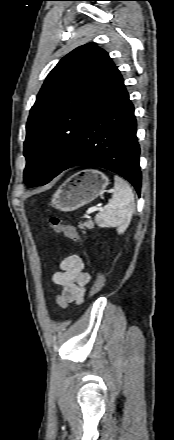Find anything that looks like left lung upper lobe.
<instances>
[{
	"instance_id": "left-lung-upper-lobe-1",
	"label": "left lung upper lobe",
	"mask_w": 174,
	"mask_h": 440,
	"mask_svg": "<svg viewBox=\"0 0 174 440\" xmlns=\"http://www.w3.org/2000/svg\"><path fill=\"white\" fill-rule=\"evenodd\" d=\"M117 67L95 43L62 58L47 76L27 121L24 181L47 184L75 153L84 123Z\"/></svg>"
}]
</instances>
